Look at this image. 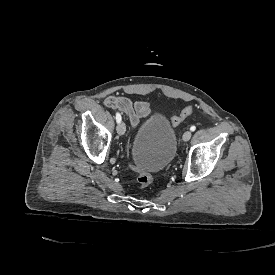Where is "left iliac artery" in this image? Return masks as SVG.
<instances>
[{
  "instance_id": "1",
  "label": "left iliac artery",
  "mask_w": 275,
  "mask_h": 275,
  "mask_svg": "<svg viewBox=\"0 0 275 275\" xmlns=\"http://www.w3.org/2000/svg\"><path fill=\"white\" fill-rule=\"evenodd\" d=\"M196 127L195 126H191L190 130L191 131H195Z\"/></svg>"
}]
</instances>
